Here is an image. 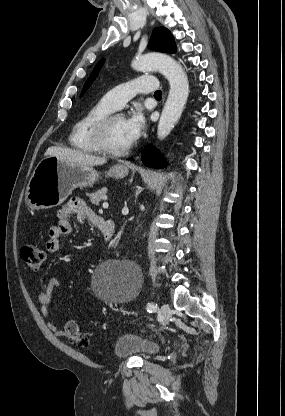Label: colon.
Wrapping results in <instances>:
<instances>
[{
    "instance_id": "obj_1",
    "label": "colon",
    "mask_w": 285,
    "mask_h": 416,
    "mask_svg": "<svg viewBox=\"0 0 285 416\" xmlns=\"http://www.w3.org/2000/svg\"><path fill=\"white\" fill-rule=\"evenodd\" d=\"M20 256L32 271H38L45 260L43 249L33 243H25L21 247ZM65 336L70 343L75 344L76 346H88L87 339L82 334L77 322L74 320L67 321L65 325Z\"/></svg>"
}]
</instances>
